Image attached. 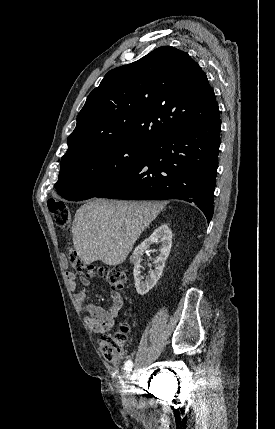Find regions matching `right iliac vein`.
I'll use <instances>...</instances> for the list:
<instances>
[{"label": "right iliac vein", "mask_w": 275, "mask_h": 429, "mask_svg": "<svg viewBox=\"0 0 275 429\" xmlns=\"http://www.w3.org/2000/svg\"><path fill=\"white\" fill-rule=\"evenodd\" d=\"M131 379H132V376H131V374H129L126 377L125 382H124V400L126 402L131 401V396L128 394V390H129V387H130Z\"/></svg>", "instance_id": "obj_1"}]
</instances>
